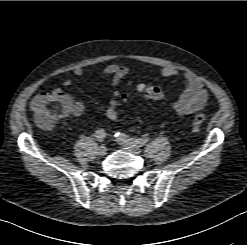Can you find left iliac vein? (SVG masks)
<instances>
[{"instance_id": "left-iliac-vein-1", "label": "left iliac vein", "mask_w": 247, "mask_h": 245, "mask_svg": "<svg viewBox=\"0 0 247 245\" xmlns=\"http://www.w3.org/2000/svg\"><path fill=\"white\" fill-rule=\"evenodd\" d=\"M121 145H122L123 149H125L129 152L136 153V154L141 152V148L137 145H132V144L125 143V142H121Z\"/></svg>"}]
</instances>
